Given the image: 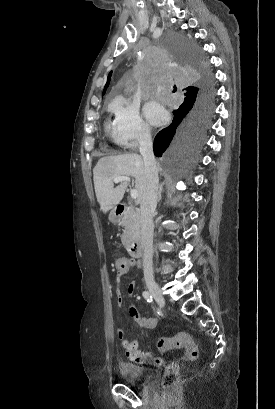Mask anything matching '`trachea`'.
<instances>
[{
	"instance_id": "1",
	"label": "trachea",
	"mask_w": 275,
	"mask_h": 409,
	"mask_svg": "<svg viewBox=\"0 0 275 409\" xmlns=\"http://www.w3.org/2000/svg\"><path fill=\"white\" fill-rule=\"evenodd\" d=\"M176 90H177V89H176V86H174V90H173V91L176 92Z\"/></svg>"
}]
</instances>
